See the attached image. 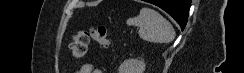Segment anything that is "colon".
<instances>
[{
    "instance_id": "colon-1",
    "label": "colon",
    "mask_w": 244,
    "mask_h": 73,
    "mask_svg": "<svg viewBox=\"0 0 244 73\" xmlns=\"http://www.w3.org/2000/svg\"><path fill=\"white\" fill-rule=\"evenodd\" d=\"M90 40H94L102 48H108L112 43L105 26L93 25L90 30H79L74 34L70 43L72 56L76 59L83 58L87 53Z\"/></svg>"
}]
</instances>
